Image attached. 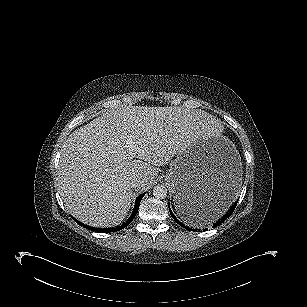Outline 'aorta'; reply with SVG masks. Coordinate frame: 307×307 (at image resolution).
<instances>
[{
	"instance_id": "aorta-1",
	"label": "aorta",
	"mask_w": 307,
	"mask_h": 307,
	"mask_svg": "<svg viewBox=\"0 0 307 307\" xmlns=\"http://www.w3.org/2000/svg\"><path fill=\"white\" fill-rule=\"evenodd\" d=\"M153 196L157 199H164L167 196V188L164 185H156L153 188Z\"/></svg>"
}]
</instances>
